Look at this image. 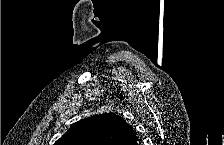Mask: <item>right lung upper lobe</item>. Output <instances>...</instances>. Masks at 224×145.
Segmentation results:
<instances>
[{
	"instance_id": "cb5924a9",
	"label": "right lung upper lobe",
	"mask_w": 224,
	"mask_h": 145,
	"mask_svg": "<svg viewBox=\"0 0 224 145\" xmlns=\"http://www.w3.org/2000/svg\"><path fill=\"white\" fill-rule=\"evenodd\" d=\"M132 127L115 114L104 113L74 123L55 145H136Z\"/></svg>"
}]
</instances>
